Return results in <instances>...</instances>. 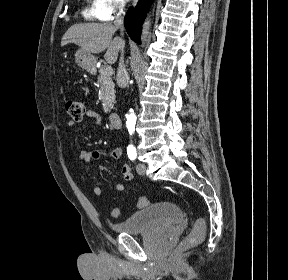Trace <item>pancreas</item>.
Instances as JSON below:
<instances>
[{
  "instance_id": "pancreas-1",
  "label": "pancreas",
  "mask_w": 288,
  "mask_h": 280,
  "mask_svg": "<svg viewBox=\"0 0 288 280\" xmlns=\"http://www.w3.org/2000/svg\"><path fill=\"white\" fill-rule=\"evenodd\" d=\"M106 66H101L98 75L99 98L105 113H109L115 102V84L110 74L105 72Z\"/></svg>"
}]
</instances>
